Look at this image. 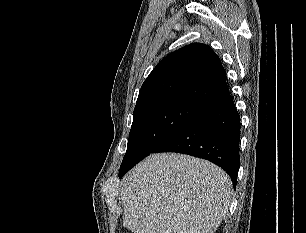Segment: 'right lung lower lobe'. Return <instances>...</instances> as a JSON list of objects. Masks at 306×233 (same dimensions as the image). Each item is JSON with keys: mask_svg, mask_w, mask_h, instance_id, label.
<instances>
[{"mask_svg": "<svg viewBox=\"0 0 306 233\" xmlns=\"http://www.w3.org/2000/svg\"><path fill=\"white\" fill-rule=\"evenodd\" d=\"M240 125L228 93L203 106L152 153L177 152L207 159L229 174L235 188L240 167Z\"/></svg>", "mask_w": 306, "mask_h": 233, "instance_id": "98d812e1", "label": "right lung lower lobe"}]
</instances>
